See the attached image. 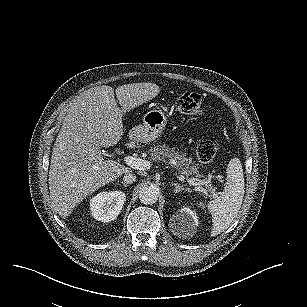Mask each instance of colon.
Returning a JSON list of instances; mask_svg holds the SVG:
<instances>
[{"mask_svg": "<svg viewBox=\"0 0 307 307\" xmlns=\"http://www.w3.org/2000/svg\"><path fill=\"white\" fill-rule=\"evenodd\" d=\"M178 111L189 115H198L203 110L202 98L191 91L182 93L175 102ZM217 153V146L212 141H202L198 144L196 155L200 162L209 163Z\"/></svg>", "mask_w": 307, "mask_h": 307, "instance_id": "colon-1", "label": "colon"}]
</instances>
